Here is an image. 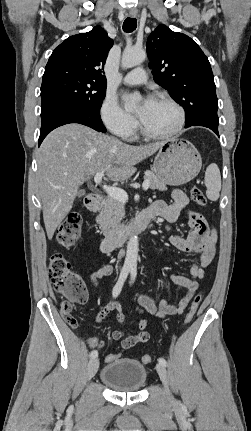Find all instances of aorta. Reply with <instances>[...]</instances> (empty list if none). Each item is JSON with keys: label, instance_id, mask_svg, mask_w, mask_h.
I'll use <instances>...</instances> for the list:
<instances>
[{"label": "aorta", "instance_id": "aorta-1", "mask_svg": "<svg viewBox=\"0 0 251 431\" xmlns=\"http://www.w3.org/2000/svg\"><path fill=\"white\" fill-rule=\"evenodd\" d=\"M146 58V52L141 48L127 47L122 55V67L124 69L132 68L141 64ZM139 250V240L136 234H133L128 243L126 250L125 265L131 270L137 268V257Z\"/></svg>", "mask_w": 251, "mask_h": 431}]
</instances>
